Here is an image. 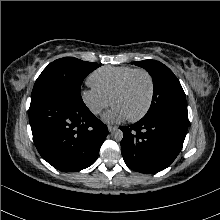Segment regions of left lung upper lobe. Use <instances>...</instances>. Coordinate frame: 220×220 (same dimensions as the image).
<instances>
[{"instance_id":"obj_1","label":"left lung upper lobe","mask_w":220,"mask_h":220,"mask_svg":"<svg viewBox=\"0 0 220 220\" xmlns=\"http://www.w3.org/2000/svg\"><path fill=\"white\" fill-rule=\"evenodd\" d=\"M135 65L146 69L153 80L151 106L142 120L164 116L175 118L188 125L185 93L173 72L156 60L137 61Z\"/></svg>"}]
</instances>
